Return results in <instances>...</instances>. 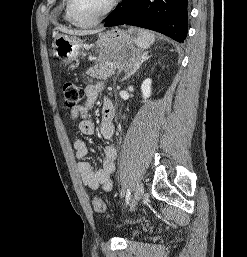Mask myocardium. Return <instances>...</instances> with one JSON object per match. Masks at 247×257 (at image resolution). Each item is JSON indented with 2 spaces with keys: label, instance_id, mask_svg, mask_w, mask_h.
Segmentation results:
<instances>
[{
  "label": "myocardium",
  "instance_id": "myocardium-1",
  "mask_svg": "<svg viewBox=\"0 0 247 257\" xmlns=\"http://www.w3.org/2000/svg\"><path fill=\"white\" fill-rule=\"evenodd\" d=\"M121 0H112L108 7L101 13L99 14L96 18L90 20V21H81L79 20L73 10V0H67V12L70 17V20L73 24L79 27H90L93 26L100 21H102L105 17H107L110 13L114 11V9L117 7Z\"/></svg>",
  "mask_w": 247,
  "mask_h": 257
}]
</instances>
